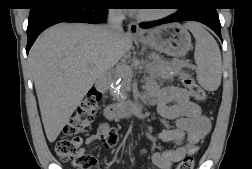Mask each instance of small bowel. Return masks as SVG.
<instances>
[{"label":"small bowel","mask_w":252,"mask_h":169,"mask_svg":"<svg viewBox=\"0 0 252 169\" xmlns=\"http://www.w3.org/2000/svg\"><path fill=\"white\" fill-rule=\"evenodd\" d=\"M145 96L156 102L163 119L176 122L174 129L164 127L153 137L154 141L172 142L176 145L172 150L152 155V161L158 168L172 169L175 163L196 151L197 144L211 132V122L202 115L200 107L190 99V94L185 89L174 86L160 88L155 81H150ZM108 132V125L101 123L97 132L86 138V145L101 142L105 148H111L107 141ZM145 153L146 150H142L141 154Z\"/></svg>","instance_id":"small-bowel-1"}]
</instances>
